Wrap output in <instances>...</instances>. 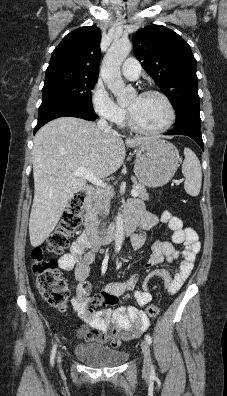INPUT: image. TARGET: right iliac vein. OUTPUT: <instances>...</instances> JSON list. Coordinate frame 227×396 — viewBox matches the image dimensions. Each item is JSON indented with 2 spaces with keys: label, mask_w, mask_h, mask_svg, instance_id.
Here are the masks:
<instances>
[{
  "label": "right iliac vein",
  "mask_w": 227,
  "mask_h": 396,
  "mask_svg": "<svg viewBox=\"0 0 227 396\" xmlns=\"http://www.w3.org/2000/svg\"><path fill=\"white\" fill-rule=\"evenodd\" d=\"M60 361H61V358L59 357V358H58V362H60Z\"/></svg>",
  "instance_id": "right-iliac-vein-1"
}]
</instances>
